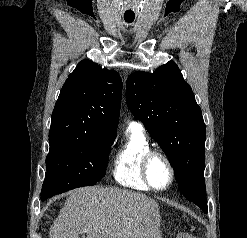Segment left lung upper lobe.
Masks as SVG:
<instances>
[{
  "label": "left lung upper lobe",
  "instance_id": "1",
  "mask_svg": "<svg viewBox=\"0 0 247 238\" xmlns=\"http://www.w3.org/2000/svg\"><path fill=\"white\" fill-rule=\"evenodd\" d=\"M127 105L159 144L175 171L181 193L207 213L204 183L206 127L178 66L135 72L126 83Z\"/></svg>",
  "mask_w": 247,
  "mask_h": 238
}]
</instances>
